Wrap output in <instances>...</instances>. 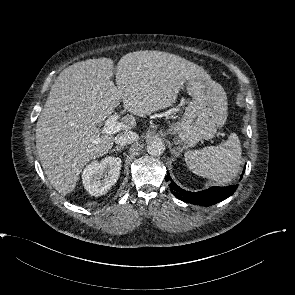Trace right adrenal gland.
Returning a JSON list of instances; mask_svg holds the SVG:
<instances>
[{
    "label": "right adrenal gland",
    "mask_w": 295,
    "mask_h": 295,
    "mask_svg": "<svg viewBox=\"0 0 295 295\" xmlns=\"http://www.w3.org/2000/svg\"><path fill=\"white\" fill-rule=\"evenodd\" d=\"M120 150H124V146H116L115 148H113L111 151L112 152H116V151H120Z\"/></svg>",
    "instance_id": "2a0ac1e0"
}]
</instances>
